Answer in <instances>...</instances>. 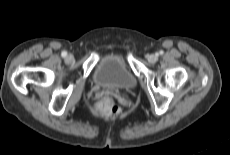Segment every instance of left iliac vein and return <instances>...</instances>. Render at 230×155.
Instances as JSON below:
<instances>
[{"label": "left iliac vein", "instance_id": "4c4485c4", "mask_svg": "<svg viewBox=\"0 0 230 155\" xmlns=\"http://www.w3.org/2000/svg\"><path fill=\"white\" fill-rule=\"evenodd\" d=\"M147 59L150 63H155L157 61L158 57L155 54H150V55H148Z\"/></svg>", "mask_w": 230, "mask_h": 155}]
</instances>
